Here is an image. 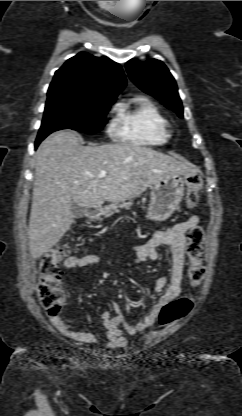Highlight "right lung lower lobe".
<instances>
[{
	"label": "right lung lower lobe",
	"mask_w": 242,
	"mask_h": 416,
	"mask_svg": "<svg viewBox=\"0 0 242 416\" xmlns=\"http://www.w3.org/2000/svg\"><path fill=\"white\" fill-rule=\"evenodd\" d=\"M42 140H43V139H36V142H35V148H37V147H38L39 143H40Z\"/></svg>",
	"instance_id": "right-lung-lower-lobe-1"
}]
</instances>
